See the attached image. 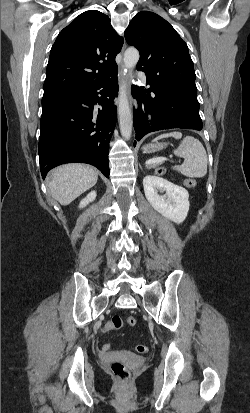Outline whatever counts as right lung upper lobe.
Segmentation results:
<instances>
[{
    "label": "right lung upper lobe",
    "instance_id": "cb5924a9",
    "mask_svg": "<svg viewBox=\"0 0 250 413\" xmlns=\"http://www.w3.org/2000/svg\"><path fill=\"white\" fill-rule=\"evenodd\" d=\"M123 45L105 14H80L58 35L51 48L44 95L88 88L117 70L115 56Z\"/></svg>",
    "mask_w": 250,
    "mask_h": 413
}]
</instances>
